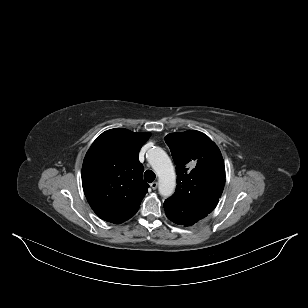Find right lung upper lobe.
<instances>
[{"mask_svg": "<svg viewBox=\"0 0 308 308\" xmlns=\"http://www.w3.org/2000/svg\"><path fill=\"white\" fill-rule=\"evenodd\" d=\"M150 133L111 129L89 148L82 166L84 194L103 220L122 223L136 214L149 185L138 153Z\"/></svg>", "mask_w": 308, "mask_h": 308, "instance_id": "cb5924a9", "label": "right lung upper lobe"}]
</instances>
